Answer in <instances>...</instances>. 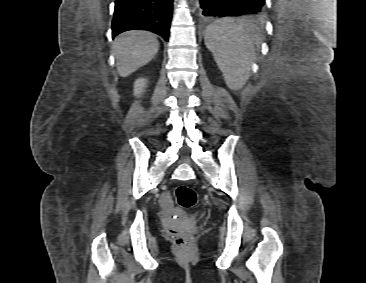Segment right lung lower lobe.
<instances>
[{
    "label": "right lung lower lobe",
    "instance_id": "1",
    "mask_svg": "<svg viewBox=\"0 0 366 283\" xmlns=\"http://www.w3.org/2000/svg\"><path fill=\"white\" fill-rule=\"evenodd\" d=\"M173 0H116L112 38L121 32L149 30L168 41Z\"/></svg>",
    "mask_w": 366,
    "mask_h": 283
}]
</instances>
